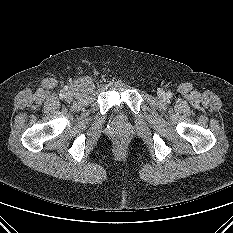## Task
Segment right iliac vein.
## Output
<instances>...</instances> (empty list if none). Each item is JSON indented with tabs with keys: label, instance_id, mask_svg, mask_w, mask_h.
<instances>
[{
	"label": "right iliac vein",
	"instance_id": "63e3f726",
	"mask_svg": "<svg viewBox=\"0 0 233 233\" xmlns=\"http://www.w3.org/2000/svg\"><path fill=\"white\" fill-rule=\"evenodd\" d=\"M72 93L71 92H66L64 97H65V100L67 101H70L72 99Z\"/></svg>",
	"mask_w": 233,
	"mask_h": 233
}]
</instances>
